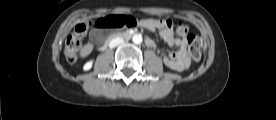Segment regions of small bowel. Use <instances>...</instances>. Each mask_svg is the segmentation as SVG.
Returning <instances> with one entry per match:
<instances>
[{
  "label": "small bowel",
  "instance_id": "c3829d8e",
  "mask_svg": "<svg viewBox=\"0 0 276 120\" xmlns=\"http://www.w3.org/2000/svg\"><path fill=\"white\" fill-rule=\"evenodd\" d=\"M141 26L151 31H159L160 36L168 45L179 47V50L163 56V62L167 67L176 71H183L189 68L191 61L186 52L187 42L175 35L171 25L165 24V20L143 19ZM98 34V30H93L90 33V38L94 45L99 43ZM148 39L150 43L147 46L155 48V42L150 38Z\"/></svg>",
  "mask_w": 276,
  "mask_h": 120
}]
</instances>
